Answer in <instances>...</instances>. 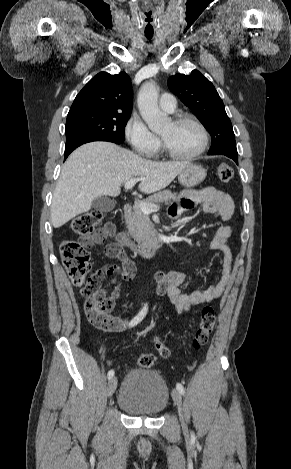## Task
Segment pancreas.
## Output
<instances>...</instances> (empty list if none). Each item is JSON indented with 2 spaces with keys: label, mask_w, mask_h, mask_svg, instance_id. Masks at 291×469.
<instances>
[{
  "label": "pancreas",
  "mask_w": 291,
  "mask_h": 469,
  "mask_svg": "<svg viewBox=\"0 0 291 469\" xmlns=\"http://www.w3.org/2000/svg\"><path fill=\"white\" fill-rule=\"evenodd\" d=\"M176 193L169 190L160 191L146 198L143 203L155 205L156 203L169 204L176 200ZM128 233L141 245H151L157 241L153 225L148 216L142 212L140 203L135 204L133 212L126 220Z\"/></svg>",
  "instance_id": "1"
}]
</instances>
